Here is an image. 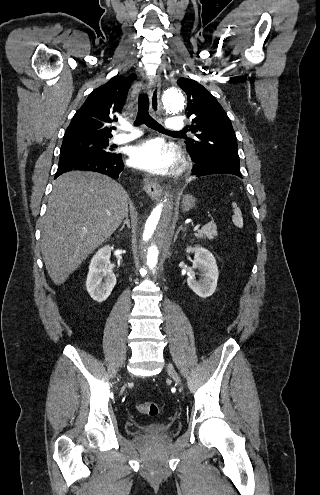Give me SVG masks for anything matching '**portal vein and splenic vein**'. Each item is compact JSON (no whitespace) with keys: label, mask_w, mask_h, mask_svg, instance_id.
I'll use <instances>...</instances> for the list:
<instances>
[{"label":"portal vein and splenic vein","mask_w":320,"mask_h":495,"mask_svg":"<svg viewBox=\"0 0 320 495\" xmlns=\"http://www.w3.org/2000/svg\"><path fill=\"white\" fill-rule=\"evenodd\" d=\"M199 228H200V225H196V226L194 227V231H198V230H199Z\"/></svg>","instance_id":"obj_1"}]
</instances>
